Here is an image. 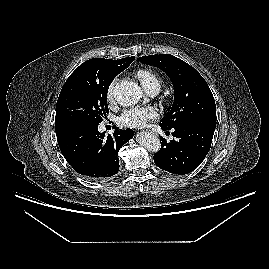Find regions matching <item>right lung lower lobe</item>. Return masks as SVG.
Wrapping results in <instances>:
<instances>
[{"label":"right lung lower lobe","instance_id":"right-lung-lower-lobe-1","mask_svg":"<svg viewBox=\"0 0 269 269\" xmlns=\"http://www.w3.org/2000/svg\"><path fill=\"white\" fill-rule=\"evenodd\" d=\"M99 124L56 125V136L66 161L83 177L100 180L119 171V149L134 135L133 130L115 128L113 135L98 131Z\"/></svg>","mask_w":269,"mask_h":269}]
</instances>
